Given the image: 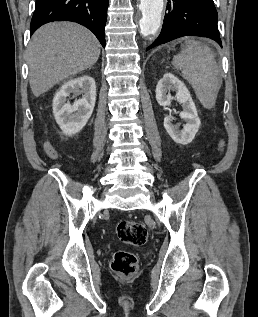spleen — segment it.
I'll return each mask as SVG.
<instances>
[{
  "label": "spleen",
  "instance_id": "3e777b00",
  "mask_svg": "<svg viewBox=\"0 0 258 317\" xmlns=\"http://www.w3.org/2000/svg\"><path fill=\"white\" fill-rule=\"evenodd\" d=\"M175 68H182V76L192 84L197 98L205 108H213L221 80L218 64L207 44L185 40V48L172 60Z\"/></svg>",
  "mask_w": 258,
  "mask_h": 317
}]
</instances>
